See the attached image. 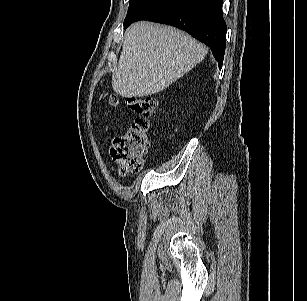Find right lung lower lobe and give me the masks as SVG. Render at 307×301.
<instances>
[{
    "mask_svg": "<svg viewBox=\"0 0 307 301\" xmlns=\"http://www.w3.org/2000/svg\"><path fill=\"white\" fill-rule=\"evenodd\" d=\"M222 2L223 0H164L135 21L151 20L188 32L211 48L221 68L227 31Z\"/></svg>",
    "mask_w": 307,
    "mask_h": 301,
    "instance_id": "1",
    "label": "right lung lower lobe"
}]
</instances>
